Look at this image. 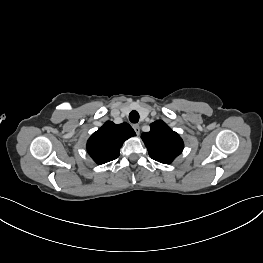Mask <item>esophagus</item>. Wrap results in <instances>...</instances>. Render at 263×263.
Masks as SVG:
<instances>
[{
    "label": "esophagus",
    "mask_w": 263,
    "mask_h": 263,
    "mask_svg": "<svg viewBox=\"0 0 263 263\" xmlns=\"http://www.w3.org/2000/svg\"><path fill=\"white\" fill-rule=\"evenodd\" d=\"M133 129L136 132L137 135L140 134V126L138 124H134L133 125Z\"/></svg>",
    "instance_id": "obj_1"
}]
</instances>
